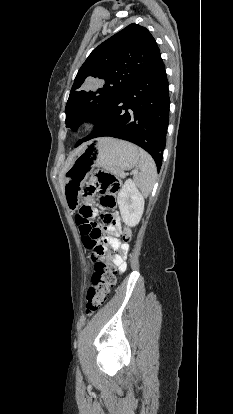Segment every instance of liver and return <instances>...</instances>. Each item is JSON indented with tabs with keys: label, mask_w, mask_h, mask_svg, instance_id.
<instances>
[{
	"label": "liver",
	"mask_w": 233,
	"mask_h": 414,
	"mask_svg": "<svg viewBox=\"0 0 233 414\" xmlns=\"http://www.w3.org/2000/svg\"><path fill=\"white\" fill-rule=\"evenodd\" d=\"M85 145L81 146L74 153H72V155L68 158V160H67L64 168L62 169V171H61V173L59 175V182H60V185H61V188H62L63 191H64V184H65V178H64L65 173L69 169V167L72 164V162L74 161L75 157L82 152V150L84 149Z\"/></svg>",
	"instance_id": "obj_1"
}]
</instances>
